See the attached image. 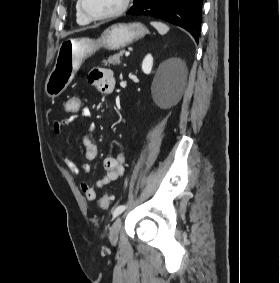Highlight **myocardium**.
<instances>
[{"mask_svg": "<svg viewBox=\"0 0 280 283\" xmlns=\"http://www.w3.org/2000/svg\"><path fill=\"white\" fill-rule=\"evenodd\" d=\"M78 3H79V8H80L82 14L88 20H90V21H101V20L112 19V18H115V17L123 14L129 8V6L131 4V0H123L121 6L118 9H116L115 11H112L110 13L103 14V15H93L89 11H87V9L85 8V5H84V0H78Z\"/></svg>", "mask_w": 280, "mask_h": 283, "instance_id": "f54148a6", "label": "myocardium"}]
</instances>
